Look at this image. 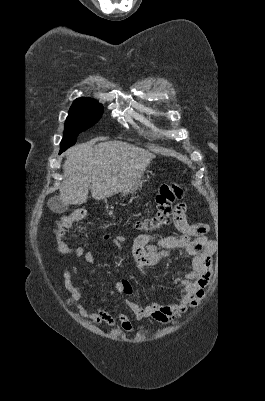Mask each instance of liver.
I'll return each mask as SVG.
<instances>
[{"label": "liver", "mask_w": 265, "mask_h": 401, "mask_svg": "<svg viewBox=\"0 0 265 401\" xmlns=\"http://www.w3.org/2000/svg\"><path fill=\"white\" fill-rule=\"evenodd\" d=\"M75 144L63 164L64 180L60 198L67 205L87 203L89 188L95 201L113 196L131 184L155 154L124 140ZM92 182V184H90Z\"/></svg>", "instance_id": "1"}]
</instances>
